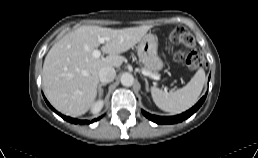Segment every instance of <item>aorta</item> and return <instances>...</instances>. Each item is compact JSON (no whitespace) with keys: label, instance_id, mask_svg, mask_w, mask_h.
<instances>
[{"label":"aorta","instance_id":"obj_1","mask_svg":"<svg viewBox=\"0 0 258 158\" xmlns=\"http://www.w3.org/2000/svg\"><path fill=\"white\" fill-rule=\"evenodd\" d=\"M120 81L123 86L130 87L134 83V77L130 73H124Z\"/></svg>","mask_w":258,"mask_h":158}]
</instances>
